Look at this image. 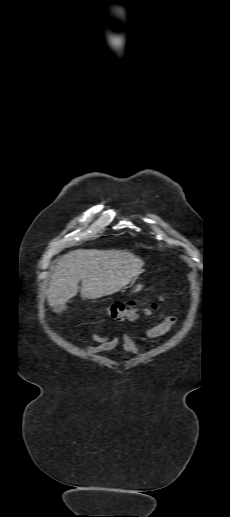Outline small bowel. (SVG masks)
I'll list each match as a JSON object with an SVG mask.
<instances>
[{
    "label": "small bowel",
    "instance_id": "small-bowel-1",
    "mask_svg": "<svg viewBox=\"0 0 230 517\" xmlns=\"http://www.w3.org/2000/svg\"><path fill=\"white\" fill-rule=\"evenodd\" d=\"M177 322L174 315L165 314L160 317L158 322L150 324L146 329V335L150 338H156L166 334L171 327ZM90 337L97 342L98 346H86L85 350L88 352L109 351L118 346L121 339L119 337H107L97 334H91ZM123 348L126 353L136 355L137 347L129 335L122 337Z\"/></svg>",
    "mask_w": 230,
    "mask_h": 517
}]
</instances>
